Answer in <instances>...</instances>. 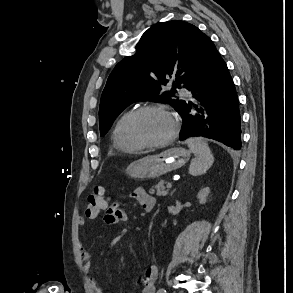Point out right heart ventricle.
Listing matches in <instances>:
<instances>
[{"mask_svg": "<svg viewBox=\"0 0 293 293\" xmlns=\"http://www.w3.org/2000/svg\"><path fill=\"white\" fill-rule=\"evenodd\" d=\"M132 112L133 110H129L121 114L113 126L111 140L113 146L121 152L132 153L142 149L139 145L130 142L126 135L127 120Z\"/></svg>", "mask_w": 293, "mask_h": 293, "instance_id": "1", "label": "right heart ventricle"}]
</instances>
